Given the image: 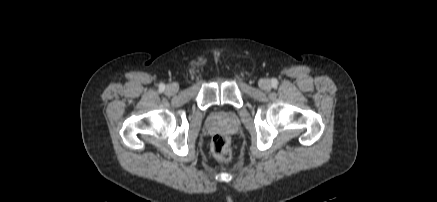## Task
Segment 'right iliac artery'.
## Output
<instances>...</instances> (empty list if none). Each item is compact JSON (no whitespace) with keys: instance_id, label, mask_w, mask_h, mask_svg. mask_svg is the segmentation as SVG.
I'll return each mask as SVG.
<instances>
[{"instance_id":"82829eb1","label":"right iliac artery","mask_w":437,"mask_h":202,"mask_svg":"<svg viewBox=\"0 0 437 202\" xmlns=\"http://www.w3.org/2000/svg\"><path fill=\"white\" fill-rule=\"evenodd\" d=\"M159 88L161 91H163L165 89V85L161 84Z\"/></svg>"}]
</instances>
